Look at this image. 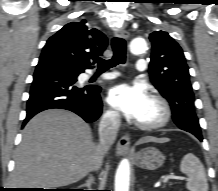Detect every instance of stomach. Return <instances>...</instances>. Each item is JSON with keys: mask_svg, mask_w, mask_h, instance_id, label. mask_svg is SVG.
<instances>
[{"mask_svg": "<svg viewBox=\"0 0 218 191\" xmlns=\"http://www.w3.org/2000/svg\"><path fill=\"white\" fill-rule=\"evenodd\" d=\"M164 161V155L154 147L141 150L135 157L136 165L146 170H156L164 164Z\"/></svg>", "mask_w": 218, "mask_h": 191, "instance_id": "obj_1", "label": "stomach"}]
</instances>
